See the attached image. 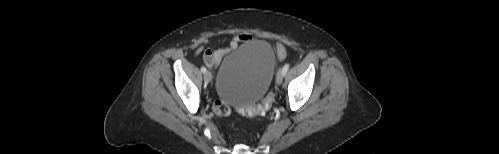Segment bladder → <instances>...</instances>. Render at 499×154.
<instances>
[{
	"instance_id": "1",
	"label": "bladder",
	"mask_w": 499,
	"mask_h": 154,
	"mask_svg": "<svg viewBox=\"0 0 499 154\" xmlns=\"http://www.w3.org/2000/svg\"><path fill=\"white\" fill-rule=\"evenodd\" d=\"M275 66L274 49L265 40L234 49L218 67L216 90L219 99L230 107L255 104L269 89Z\"/></svg>"
}]
</instances>
